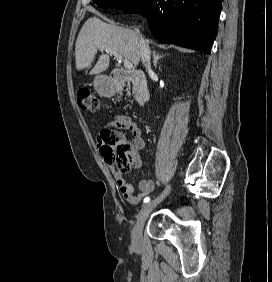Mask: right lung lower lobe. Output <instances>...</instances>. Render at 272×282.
<instances>
[{
  "label": "right lung lower lobe",
  "instance_id": "obj_1",
  "mask_svg": "<svg viewBox=\"0 0 272 282\" xmlns=\"http://www.w3.org/2000/svg\"><path fill=\"white\" fill-rule=\"evenodd\" d=\"M148 20L153 36L162 43L210 53L217 35L220 0H141L124 10Z\"/></svg>",
  "mask_w": 272,
  "mask_h": 282
}]
</instances>
